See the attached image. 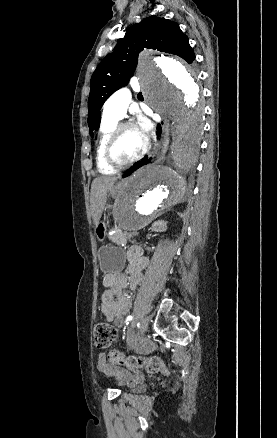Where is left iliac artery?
Segmentation results:
<instances>
[{
    "label": "left iliac artery",
    "instance_id": "obj_1",
    "mask_svg": "<svg viewBox=\"0 0 277 438\" xmlns=\"http://www.w3.org/2000/svg\"><path fill=\"white\" fill-rule=\"evenodd\" d=\"M132 319H133V316H132V315H129V316L126 318V324H128V322L131 321Z\"/></svg>",
    "mask_w": 277,
    "mask_h": 438
}]
</instances>
